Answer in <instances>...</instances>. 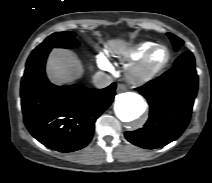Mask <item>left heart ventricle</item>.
<instances>
[{"instance_id": "left-heart-ventricle-1", "label": "left heart ventricle", "mask_w": 212, "mask_h": 183, "mask_svg": "<svg viewBox=\"0 0 212 183\" xmlns=\"http://www.w3.org/2000/svg\"><path fill=\"white\" fill-rule=\"evenodd\" d=\"M167 58V51L164 48L156 49L149 58L146 68L153 69L160 66Z\"/></svg>"}]
</instances>
